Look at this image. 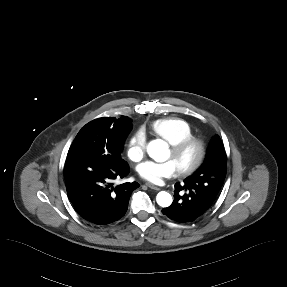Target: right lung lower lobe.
<instances>
[{"label":"right lung lower lobe","instance_id":"98d812e1","mask_svg":"<svg viewBox=\"0 0 287 287\" xmlns=\"http://www.w3.org/2000/svg\"><path fill=\"white\" fill-rule=\"evenodd\" d=\"M114 163L94 154L67 157L64 167L66 190L76 212L86 221L106 225L122 218L137 182L113 186L112 181L129 173L126 161Z\"/></svg>","mask_w":287,"mask_h":287}]
</instances>
